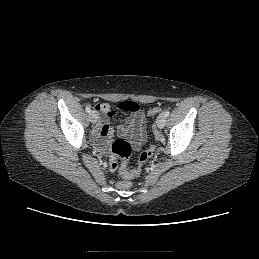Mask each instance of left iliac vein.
<instances>
[{
  "instance_id": "left-iliac-vein-1",
  "label": "left iliac vein",
  "mask_w": 259,
  "mask_h": 259,
  "mask_svg": "<svg viewBox=\"0 0 259 259\" xmlns=\"http://www.w3.org/2000/svg\"><path fill=\"white\" fill-rule=\"evenodd\" d=\"M156 124H157V127L160 128V129L165 126V124H166V116H165L164 113L160 114L157 117Z\"/></svg>"
}]
</instances>
